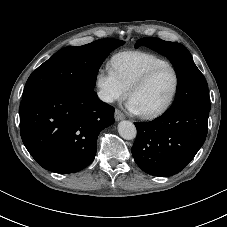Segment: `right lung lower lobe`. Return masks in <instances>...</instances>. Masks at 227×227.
<instances>
[{"label": "right lung lower lobe", "mask_w": 227, "mask_h": 227, "mask_svg": "<svg viewBox=\"0 0 227 227\" xmlns=\"http://www.w3.org/2000/svg\"><path fill=\"white\" fill-rule=\"evenodd\" d=\"M114 111L94 91H41L21 101V138L44 169L75 173L94 160L98 135L114 123Z\"/></svg>", "instance_id": "98d812e1"}]
</instances>
